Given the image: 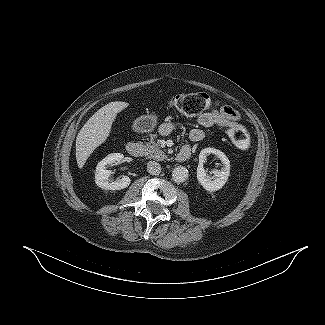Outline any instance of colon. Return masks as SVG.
<instances>
[{"label": "colon", "instance_id": "colon-1", "mask_svg": "<svg viewBox=\"0 0 325 325\" xmlns=\"http://www.w3.org/2000/svg\"><path fill=\"white\" fill-rule=\"evenodd\" d=\"M211 97L203 92L179 94L168 101V107L185 116H196L209 109ZM228 135L233 145L241 151L250 146V140L245 128L239 123H233L228 129Z\"/></svg>", "mask_w": 325, "mask_h": 325}]
</instances>
